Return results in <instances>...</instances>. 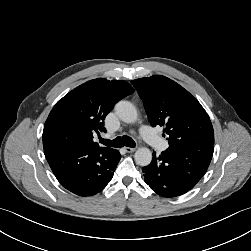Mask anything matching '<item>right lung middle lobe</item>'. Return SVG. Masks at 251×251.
I'll list each match as a JSON object with an SVG mask.
<instances>
[{
  "instance_id": "dd1d6c3e",
  "label": "right lung middle lobe",
  "mask_w": 251,
  "mask_h": 251,
  "mask_svg": "<svg viewBox=\"0 0 251 251\" xmlns=\"http://www.w3.org/2000/svg\"><path fill=\"white\" fill-rule=\"evenodd\" d=\"M48 144L51 148L76 147V134L68 126L53 125L48 130Z\"/></svg>"
}]
</instances>
